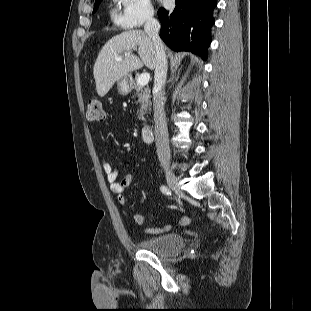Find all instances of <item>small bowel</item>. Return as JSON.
Wrapping results in <instances>:
<instances>
[{
	"mask_svg": "<svg viewBox=\"0 0 311 311\" xmlns=\"http://www.w3.org/2000/svg\"><path fill=\"white\" fill-rule=\"evenodd\" d=\"M102 169L110 183L111 191L117 195L118 202L121 205L126 204V197L124 196V190L133 182V176L130 174L125 175L121 180H118L119 173L116 167L109 161L102 159L101 161ZM133 221L142 225L146 221V216L142 214H134L132 216ZM178 226H186L188 224L187 218H180L176 221ZM172 228L171 224H165L162 227H149L146 229L148 234H161L170 231Z\"/></svg>",
	"mask_w": 311,
	"mask_h": 311,
	"instance_id": "obj_1",
	"label": "small bowel"
}]
</instances>
